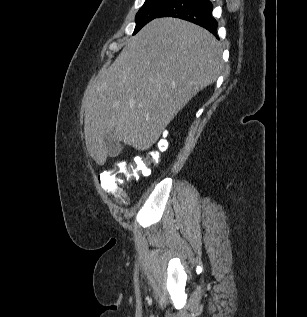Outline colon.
Segmentation results:
<instances>
[{
  "label": "colon",
  "instance_id": "obj_1",
  "mask_svg": "<svg viewBox=\"0 0 307 317\" xmlns=\"http://www.w3.org/2000/svg\"><path fill=\"white\" fill-rule=\"evenodd\" d=\"M168 146L166 131H163L151 149L143 155H138L131 162L118 161L113 167L99 176L102 189L117 199L124 200L126 194L121 187L123 181L137 179L140 175H148L151 165L157 164L161 153Z\"/></svg>",
  "mask_w": 307,
  "mask_h": 317
}]
</instances>
